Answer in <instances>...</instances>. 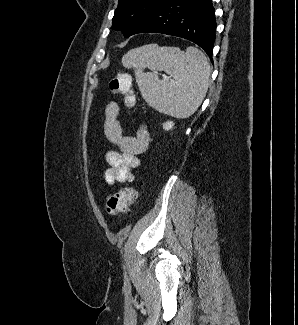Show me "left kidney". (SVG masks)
I'll return each instance as SVG.
<instances>
[{"mask_svg":"<svg viewBox=\"0 0 298 325\" xmlns=\"http://www.w3.org/2000/svg\"><path fill=\"white\" fill-rule=\"evenodd\" d=\"M175 122H173V120H168V122H163V128H165V130H170V128H173Z\"/></svg>","mask_w":298,"mask_h":325,"instance_id":"obj_1","label":"left kidney"}]
</instances>
